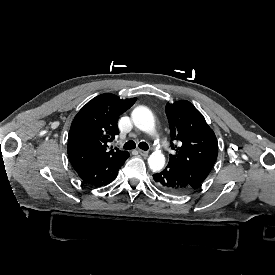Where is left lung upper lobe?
Listing matches in <instances>:
<instances>
[{
    "instance_id": "5c2ea615",
    "label": "left lung upper lobe",
    "mask_w": 275,
    "mask_h": 275,
    "mask_svg": "<svg viewBox=\"0 0 275 275\" xmlns=\"http://www.w3.org/2000/svg\"><path fill=\"white\" fill-rule=\"evenodd\" d=\"M170 135L174 143L168 166L180 174L194 189L210 173L218 154L214 131L203 115L189 101L166 105Z\"/></svg>"
}]
</instances>
